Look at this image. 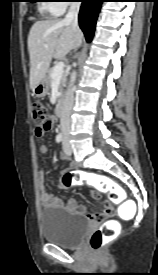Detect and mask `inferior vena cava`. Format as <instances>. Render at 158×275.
Listing matches in <instances>:
<instances>
[{"label":"inferior vena cava","mask_w":158,"mask_h":275,"mask_svg":"<svg viewBox=\"0 0 158 275\" xmlns=\"http://www.w3.org/2000/svg\"><path fill=\"white\" fill-rule=\"evenodd\" d=\"M80 9L79 2H73L70 5L69 11L65 16L63 22L70 24L74 32H76L78 27V13ZM80 45V42H75L73 49H77ZM74 103V89L70 88L67 90L65 100L61 107L60 114V124H61V132L64 137H68L70 135L71 129V111Z\"/></svg>","instance_id":"inferior-vena-cava-1"}]
</instances>
